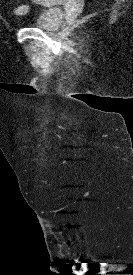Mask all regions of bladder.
Returning a JSON list of instances; mask_svg holds the SVG:
<instances>
[{"mask_svg":"<svg viewBox=\"0 0 133 275\" xmlns=\"http://www.w3.org/2000/svg\"><path fill=\"white\" fill-rule=\"evenodd\" d=\"M64 20V13L60 7L50 6L43 9L36 17L34 26L36 28L55 31Z\"/></svg>","mask_w":133,"mask_h":275,"instance_id":"obj_1","label":"bladder"}]
</instances>
